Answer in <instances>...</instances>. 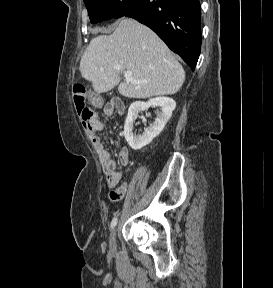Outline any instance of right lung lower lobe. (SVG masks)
Returning <instances> with one entry per match:
<instances>
[{
	"label": "right lung lower lobe",
	"mask_w": 273,
	"mask_h": 288,
	"mask_svg": "<svg viewBox=\"0 0 273 288\" xmlns=\"http://www.w3.org/2000/svg\"><path fill=\"white\" fill-rule=\"evenodd\" d=\"M123 16L150 27L195 69L201 49L199 0H136Z\"/></svg>",
	"instance_id": "right-lung-lower-lobe-1"
}]
</instances>
